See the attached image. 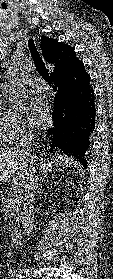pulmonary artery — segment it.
I'll use <instances>...</instances> for the list:
<instances>
[{"mask_svg": "<svg viewBox=\"0 0 113 279\" xmlns=\"http://www.w3.org/2000/svg\"><path fill=\"white\" fill-rule=\"evenodd\" d=\"M27 84L31 88V90L36 93L41 94V93L47 92V86L41 79H38V78L30 79L27 82Z\"/></svg>", "mask_w": 113, "mask_h": 279, "instance_id": "pulmonary-artery-1", "label": "pulmonary artery"}]
</instances>
